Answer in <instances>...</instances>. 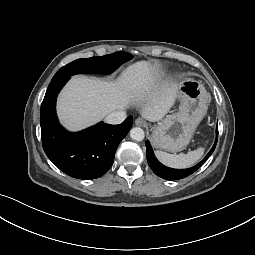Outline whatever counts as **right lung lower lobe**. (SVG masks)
I'll return each mask as SVG.
<instances>
[{"label": "right lung lower lobe", "mask_w": 255, "mask_h": 255, "mask_svg": "<svg viewBox=\"0 0 255 255\" xmlns=\"http://www.w3.org/2000/svg\"><path fill=\"white\" fill-rule=\"evenodd\" d=\"M70 79H54L48 86L40 111L43 149L61 171L77 179H95L112 166L119 143L131 129L133 117L119 125L103 122L78 133L67 132L56 116V98Z\"/></svg>", "instance_id": "98d812e1"}]
</instances>
